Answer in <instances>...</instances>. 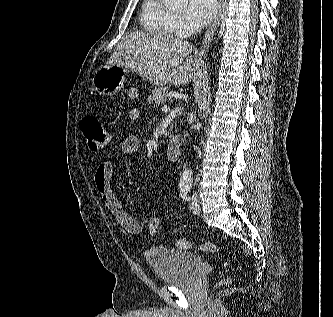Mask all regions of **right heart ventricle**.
<instances>
[{
	"instance_id": "right-heart-ventricle-1",
	"label": "right heart ventricle",
	"mask_w": 333,
	"mask_h": 317,
	"mask_svg": "<svg viewBox=\"0 0 333 317\" xmlns=\"http://www.w3.org/2000/svg\"><path fill=\"white\" fill-rule=\"evenodd\" d=\"M140 21L142 27L157 36L171 38L177 35L175 15L163 0H143Z\"/></svg>"
}]
</instances>
